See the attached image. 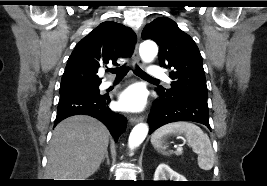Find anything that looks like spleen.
Segmentation results:
<instances>
[{
  "mask_svg": "<svg viewBox=\"0 0 267 186\" xmlns=\"http://www.w3.org/2000/svg\"><path fill=\"white\" fill-rule=\"evenodd\" d=\"M170 134H184L187 143L198 154V165L201 169L210 170L214 164V152L210 139L200 127L189 122H174L157 129L151 143L163 154L165 147L162 146V138Z\"/></svg>",
  "mask_w": 267,
  "mask_h": 186,
  "instance_id": "spleen-1",
  "label": "spleen"
}]
</instances>
